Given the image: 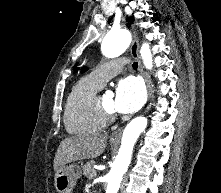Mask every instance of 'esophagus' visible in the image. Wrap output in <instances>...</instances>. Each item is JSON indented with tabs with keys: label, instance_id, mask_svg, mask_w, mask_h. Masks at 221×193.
I'll use <instances>...</instances> for the list:
<instances>
[{
	"label": "esophagus",
	"instance_id": "esophagus-1",
	"mask_svg": "<svg viewBox=\"0 0 221 193\" xmlns=\"http://www.w3.org/2000/svg\"><path fill=\"white\" fill-rule=\"evenodd\" d=\"M131 54L138 61L139 71L146 82L147 90H148V97L150 99L151 98L150 84H149L148 77L143 69V66H142V63L140 60L139 41H138V38H137V35L135 32H133V39H132V44H131ZM121 134H122V128H119L111 134V139H115V140L119 139L121 137Z\"/></svg>",
	"mask_w": 221,
	"mask_h": 193
}]
</instances>
